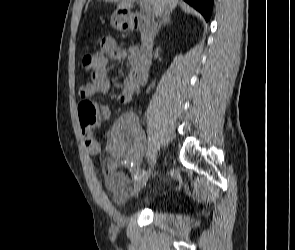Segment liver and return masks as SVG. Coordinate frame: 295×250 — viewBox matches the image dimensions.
<instances>
[{"label":"liver","mask_w":295,"mask_h":250,"mask_svg":"<svg viewBox=\"0 0 295 250\" xmlns=\"http://www.w3.org/2000/svg\"><path fill=\"white\" fill-rule=\"evenodd\" d=\"M106 2H117V9H126L129 10L133 7V3L137 0H105ZM152 7L153 13L156 15L162 11L170 13L178 5V0H143Z\"/></svg>","instance_id":"1"}]
</instances>
